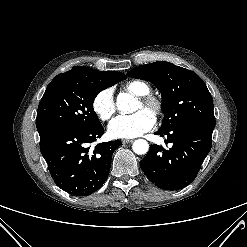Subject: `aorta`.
<instances>
[{
  "label": "aorta",
  "instance_id": "1",
  "mask_svg": "<svg viewBox=\"0 0 247 247\" xmlns=\"http://www.w3.org/2000/svg\"><path fill=\"white\" fill-rule=\"evenodd\" d=\"M116 105L118 110L123 113L127 114L132 112L133 109V97L128 93H120L117 96ZM133 151L138 155L146 154L149 150V144L144 139H137L134 141L132 145Z\"/></svg>",
  "mask_w": 247,
  "mask_h": 247
}]
</instances>
